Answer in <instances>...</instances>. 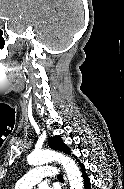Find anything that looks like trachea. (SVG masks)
I'll list each match as a JSON object with an SVG mask.
<instances>
[{
	"mask_svg": "<svg viewBox=\"0 0 124 189\" xmlns=\"http://www.w3.org/2000/svg\"><path fill=\"white\" fill-rule=\"evenodd\" d=\"M57 177L59 181H63V176L61 174H59Z\"/></svg>",
	"mask_w": 124,
	"mask_h": 189,
	"instance_id": "trachea-1",
	"label": "trachea"
}]
</instances>
